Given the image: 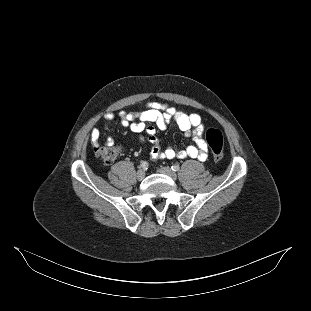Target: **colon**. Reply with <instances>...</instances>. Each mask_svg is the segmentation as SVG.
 Masks as SVG:
<instances>
[{
	"label": "colon",
	"mask_w": 311,
	"mask_h": 311,
	"mask_svg": "<svg viewBox=\"0 0 311 311\" xmlns=\"http://www.w3.org/2000/svg\"><path fill=\"white\" fill-rule=\"evenodd\" d=\"M206 142L210 147L213 157L220 161L223 156V137L222 133L215 128H211L206 133ZM121 149L118 146L106 145L99 146L95 149L96 156L104 164H111L120 155Z\"/></svg>",
	"instance_id": "colon-1"
}]
</instances>
